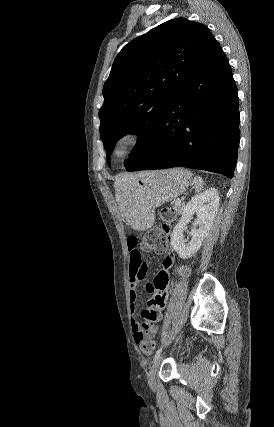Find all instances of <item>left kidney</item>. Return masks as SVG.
Segmentation results:
<instances>
[{
    "label": "left kidney",
    "mask_w": 274,
    "mask_h": 427,
    "mask_svg": "<svg viewBox=\"0 0 274 427\" xmlns=\"http://www.w3.org/2000/svg\"><path fill=\"white\" fill-rule=\"evenodd\" d=\"M218 208L219 194L215 188H209L199 196H194L191 202L186 204L181 219L171 233V245L179 257L187 259L198 251L204 237L210 233ZM194 214H197V217L193 223L194 229H192L190 241H188V239H184L183 231ZM196 225H198V229H196Z\"/></svg>",
    "instance_id": "left-kidney-1"
}]
</instances>
